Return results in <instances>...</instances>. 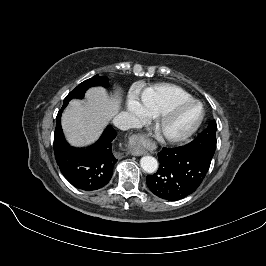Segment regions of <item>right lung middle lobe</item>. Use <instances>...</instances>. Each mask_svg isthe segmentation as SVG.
<instances>
[{
    "label": "right lung middle lobe",
    "instance_id": "obj_1",
    "mask_svg": "<svg viewBox=\"0 0 266 266\" xmlns=\"http://www.w3.org/2000/svg\"><path fill=\"white\" fill-rule=\"evenodd\" d=\"M98 85L107 87L108 86V78L95 75L94 77L83 81L73 91H71L67 95V97L64 99L63 105H67L68 102L73 98L82 99L88 88H90L92 86H98Z\"/></svg>",
    "mask_w": 266,
    "mask_h": 266
}]
</instances>
